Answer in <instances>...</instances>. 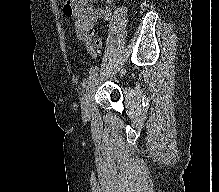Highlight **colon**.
Wrapping results in <instances>:
<instances>
[{
	"mask_svg": "<svg viewBox=\"0 0 219 192\" xmlns=\"http://www.w3.org/2000/svg\"><path fill=\"white\" fill-rule=\"evenodd\" d=\"M102 48V39L97 34L93 35L92 41H91V52H98Z\"/></svg>",
	"mask_w": 219,
	"mask_h": 192,
	"instance_id": "colon-1",
	"label": "colon"
}]
</instances>
